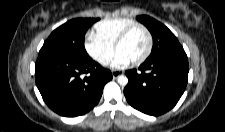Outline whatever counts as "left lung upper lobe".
<instances>
[{
  "label": "left lung upper lobe",
  "instance_id": "5c2ea615",
  "mask_svg": "<svg viewBox=\"0 0 225 132\" xmlns=\"http://www.w3.org/2000/svg\"><path fill=\"white\" fill-rule=\"evenodd\" d=\"M137 20L149 29L153 37L152 52L147 60L185 53L176 36L165 25L146 15L138 16Z\"/></svg>",
  "mask_w": 225,
  "mask_h": 132
}]
</instances>
